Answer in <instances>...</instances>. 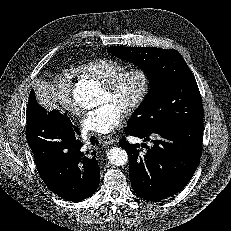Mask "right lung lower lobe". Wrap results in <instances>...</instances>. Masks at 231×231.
<instances>
[{"instance_id":"1","label":"right lung lower lobe","mask_w":231,"mask_h":231,"mask_svg":"<svg viewBox=\"0 0 231 231\" xmlns=\"http://www.w3.org/2000/svg\"><path fill=\"white\" fill-rule=\"evenodd\" d=\"M78 128L66 114L47 112L31 90L27 106L26 138L38 173L48 188L67 201L92 196L100 182V169L91 138L88 150L77 139Z\"/></svg>"}]
</instances>
